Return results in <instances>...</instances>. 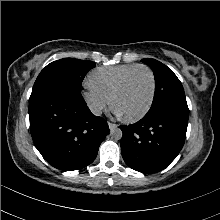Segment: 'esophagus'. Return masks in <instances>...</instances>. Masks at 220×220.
I'll list each match as a JSON object with an SVG mask.
<instances>
[{"mask_svg": "<svg viewBox=\"0 0 220 220\" xmlns=\"http://www.w3.org/2000/svg\"><path fill=\"white\" fill-rule=\"evenodd\" d=\"M108 126H109L110 130H113V129L118 127L117 124H114V123H111V122L108 123Z\"/></svg>", "mask_w": 220, "mask_h": 220, "instance_id": "obj_1", "label": "esophagus"}]
</instances>
